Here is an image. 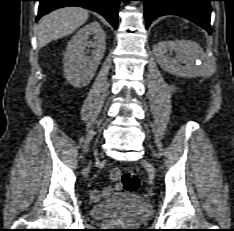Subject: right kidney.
<instances>
[{"label":"right kidney","instance_id":"ca27d5eb","mask_svg":"<svg viewBox=\"0 0 234 231\" xmlns=\"http://www.w3.org/2000/svg\"><path fill=\"white\" fill-rule=\"evenodd\" d=\"M93 35L94 41L89 40ZM106 36L101 25L94 21L80 29L68 43L64 53V75L75 87H84L90 83L106 49ZM87 47H92L88 56Z\"/></svg>","mask_w":234,"mask_h":231}]
</instances>
